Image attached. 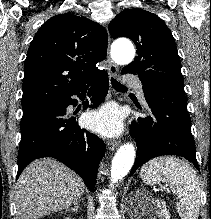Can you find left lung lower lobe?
Wrapping results in <instances>:
<instances>
[{
    "mask_svg": "<svg viewBox=\"0 0 211 219\" xmlns=\"http://www.w3.org/2000/svg\"><path fill=\"white\" fill-rule=\"evenodd\" d=\"M143 92L150 110L149 116L130 125L137 144L130 176L148 160L163 155L182 156L199 170L184 86L149 84L143 85Z\"/></svg>",
    "mask_w": 211,
    "mask_h": 219,
    "instance_id": "obj_1",
    "label": "left lung lower lobe"
}]
</instances>
